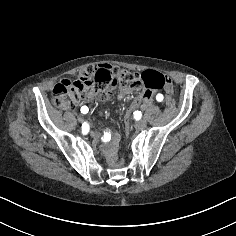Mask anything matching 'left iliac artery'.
I'll return each mask as SVG.
<instances>
[{"mask_svg":"<svg viewBox=\"0 0 236 236\" xmlns=\"http://www.w3.org/2000/svg\"><path fill=\"white\" fill-rule=\"evenodd\" d=\"M156 100H157L158 102H161V101L163 100V95H162V94H158V95L156 96Z\"/></svg>","mask_w":236,"mask_h":236,"instance_id":"left-iliac-artery-1","label":"left iliac artery"}]
</instances>
